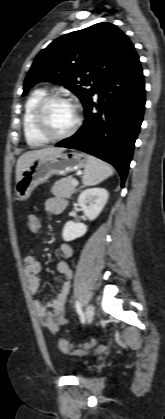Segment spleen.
<instances>
[{
    "mask_svg": "<svg viewBox=\"0 0 165 419\" xmlns=\"http://www.w3.org/2000/svg\"><path fill=\"white\" fill-rule=\"evenodd\" d=\"M113 173V169L109 164L96 157L89 156L84 169L82 182L85 186L96 185L112 176Z\"/></svg>",
    "mask_w": 165,
    "mask_h": 419,
    "instance_id": "3e777b00",
    "label": "spleen"
}]
</instances>
